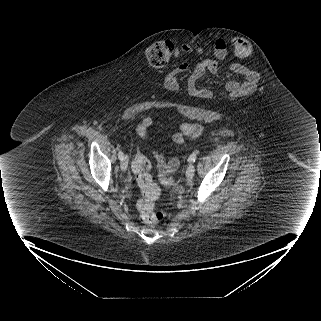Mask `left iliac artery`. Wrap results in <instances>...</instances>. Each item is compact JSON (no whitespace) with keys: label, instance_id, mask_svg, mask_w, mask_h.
Segmentation results:
<instances>
[{"label":"left iliac artery","instance_id":"obj_1","mask_svg":"<svg viewBox=\"0 0 321 321\" xmlns=\"http://www.w3.org/2000/svg\"><path fill=\"white\" fill-rule=\"evenodd\" d=\"M197 158V155L195 153H193L192 155H190V157L188 158V162L192 163L195 162Z\"/></svg>","mask_w":321,"mask_h":321}]
</instances>
